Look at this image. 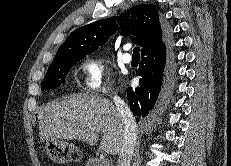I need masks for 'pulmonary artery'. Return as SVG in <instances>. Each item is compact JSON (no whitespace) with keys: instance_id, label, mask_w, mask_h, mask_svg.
Here are the masks:
<instances>
[{"instance_id":"obj_1","label":"pulmonary artery","mask_w":231,"mask_h":166,"mask_svg":"<svg viewBox=\"0 0 231 166\" xmlns=\"http://www.w3.org/2000/svg\"><path fill=\"white\" fill-rule=\"evenodd\" d=\"M130 49V46H125V50H129ZM122 61L124 62V63H126V64H129V63H131V61H132V58H131V55L129 54V53H124L123 55H122Z\"/></svg>"}]
</instances>
